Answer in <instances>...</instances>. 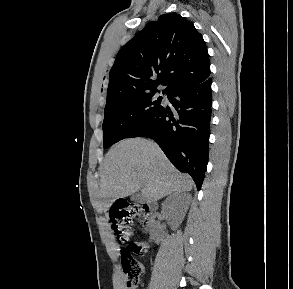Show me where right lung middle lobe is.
I'll use <instances>...</instances> for the list:
<instances>
[{
  "label": "right lung middle lobe",
  "instance_id": "right-lung-middle-lobe-1",
  "mask_svg": "<svg viewBox=\"0 0 293 289\" xmlns=\"http://www.w3.org/2000/svg\"><path fill=\"white\" fill-rule=\"evenodd\" d=\"M162 97L149 92L109 102L104 110L103 143L108 148L129 138L148 117L162 107Z\"/></svg>",
  "mask_w": 293,
  "mask_h": 289
}]
</instances>
